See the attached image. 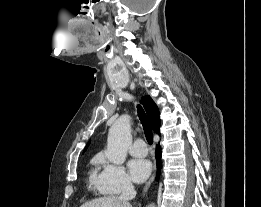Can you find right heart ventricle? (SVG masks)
Listing matches in <instances>:
<instances>
[{"instance_id": "e07e8e85", "label": "right heart ventricle", "mask_w": 261, "mask_h": 207, "mask_svg": "<svg viewBox=\"0 0 261 207\" xmlns=\"http://www.w3.org/2000/svg\"><path fill=\"white\" fill-rule=\"evenodd\" d=\"M101 161H102V158H101V156H95L93 159H92V161H91V163H92V165H93V169L91 170V172H90V178H91V181L94 183V181H95V178H96V167L101 163Z\"/></svg>"}]
</instances>
